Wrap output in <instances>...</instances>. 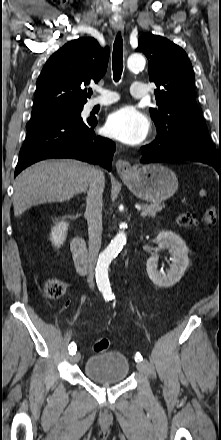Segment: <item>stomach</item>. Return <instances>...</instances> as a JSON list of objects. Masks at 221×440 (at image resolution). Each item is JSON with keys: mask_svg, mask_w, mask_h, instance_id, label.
<instances>
[{"mask_svg": "<svg viewBox=\"0 0 221 440\" xmlns=\"http://www.w3.org/2000/svg\"><path fill=\"white\" fill-rule=\"evenodd\" d=\"M129 190L139 199L159 203L175 194L178 189L176 174L162 164H148L132 167L121 174Z\"/></svg>", "mask_w": 221, "mask_h": 440, "instance_id": "obj_1", "label": "stomach"}]
</instances>
